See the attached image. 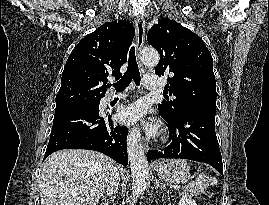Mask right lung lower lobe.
<instances>
[{"mask_svg": "<svg viewBox=\"0 0 269 205\" xmlns=\"http://www.w3.org/2000/svg\"><path fill=\"white\" fill-rule=\"evenodd\" d=\"M127 128L114 125L110 115H101L99 110L67 109L55 111L46 159L61 149H89L102 152L126 166Z\"/></svg>", "mask_w": 269, "mask_h": 205, "instance_id": "98d812e1", "label": "right lung lower lobe"}]
</instances>
